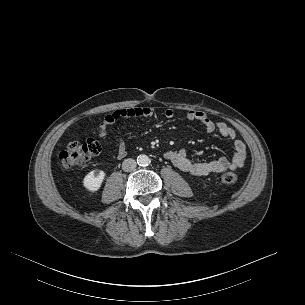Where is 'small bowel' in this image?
I'll list each match as a JSON object with an SVG mask.
<instances>
[{"mask_svg":"<svg viewBox=\"0 0 305 305\" xmlns=\"http://www.w3.org/2000/svg\"><path fill=\"white\" fill-rule=\"evenodd\" d=\"M155 111L151 107L123 108L114 111L104 117L97 129L100 138L106 139L110 127L121 120H130L135 118H152ZM174 112L170 109L165 111V117L171 119ZM186 118L190 122L202 124L208 133L217 132L223 138L230 140L233 144L234 152L231 158L221 157L210 162H193L189 159L185 149L178 151H166L164 158L171 161L175 167L193 178L204 177L212 173H219L225 170H234L243 166L246 160V146L244 142L237 137L233 128L225 122L215 123L206 113L202 111H189ZM126 126H123L122 133ZM127 155V148L123 136L119 137L117 150L114 157L122 159Z\"/></svg>","mask_w":305,"mask_h":305,"instance_id":"small-bowel-1","label":"small bowel"}]
</instances>
